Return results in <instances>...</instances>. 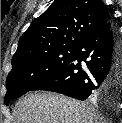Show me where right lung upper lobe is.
<instances>
[{
  "label": "right lung upper lobe",
  "instance_id": "right-lung-upper-lobe-1",
  "mask_svg": "<svg viewBox=\"0 0 122 123\" xmlns=\"http://www.w3.org/2000/svg\"><path fill=\"white\" fill-rule=\"evenodd\" d=\"M109 21L110 14L101 0H54L20 37L12 63L47 52L77 49Z\"/></svg>",
  "mask_w": 122,
  "mask_h": 123
}]
</instances>
